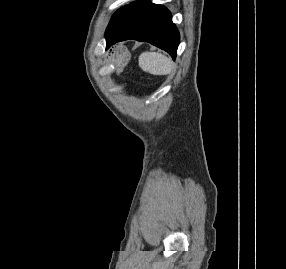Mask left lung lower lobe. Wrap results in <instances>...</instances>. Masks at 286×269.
Here are the masks:
<instances>
[{"label":"left lung lower lobe","mask_w":286,"mask_h":269,"mask_svg":"<svg viewBox=\"0 0 286 269\" xmlns=\"http://www.w3.org/2000/svg\"><path fill=\"white\" fill-rule=\"evenodd\" d=\"M128 39L149 42L167 51L173 59L179 45V33L172 23L170 12L148 1L141 2L115 27L106 30V49Z\"/></svg>","instance_id":"left-lung-lower-lobe-1"}]
</instances>
